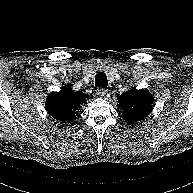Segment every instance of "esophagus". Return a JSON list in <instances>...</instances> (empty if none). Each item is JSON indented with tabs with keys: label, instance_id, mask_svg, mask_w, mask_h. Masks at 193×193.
<instances>
[{
	"label": "esophagus",
	"instance_id": "esophagus-1",
	"mask_svg": "<svg viewBox=\"0 0 193 193\" xmlns=\"http://www.w3.org/2000/svg\"><path fill=\"white\" fill-rule=\"evenodd\" d=\"M96 93H97V95H99V96L103 97V96H105V95H106L107 90H106V89H104V88H97Z\"/></svg>",
	"mask_w": 193,
	"mask_h": 193
}]
</instances>
